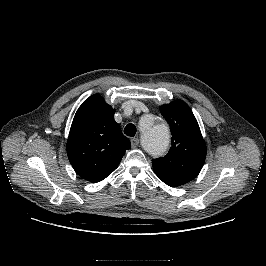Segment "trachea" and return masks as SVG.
Segmentation results:
<instances>
[{"instance_id": "1", "label": "trachea", "mask_w": 266, "mask_h": 266, "mask_svg": "<svg viewBox=\"0 0 266 266\" xmlns=\"http://www.w3.org/2000/svg\"><path fill=\"white\" fill-rule=\"evenodd\" d=\"M124 133L127 136L133 137L136 134V126L134 124H128L125 128H124Z\"/></svg>"}]
</instances>
